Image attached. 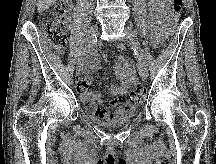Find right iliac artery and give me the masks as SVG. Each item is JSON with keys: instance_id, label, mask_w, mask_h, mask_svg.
Segmentation results:
<instances>
[{"instance_id": "right-iliac-artery-1", "label": "right iliac artery", "mask_w": 216, "mask_h": 164, "mask_svg": "<svg viewBox=\"0 0 216 164\" xmlns=\"http://www.w3.org/2000/svg\"><path fill=\"white\" fill-rule=\"evenodd\" d=\"M96 38V37H95ZM97 40V39H96ZM94 42H95V39L93 40V42L91 43V44H89V45H87L84 49H83V51H82V56H81V58L79 59L81 62L84 60V58L86 57L85 55H86V52H87V50L88 49H90V47L94 44ZM87 48V49H86Z\"/></svg>"}]
</instances>
